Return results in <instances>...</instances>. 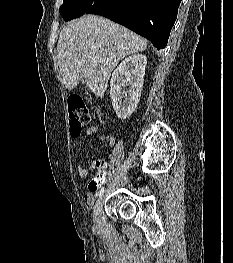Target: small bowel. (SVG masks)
I'll return each instance as SVG.
<instances>
[{"instance_id": "small-bowel-1", "label": "small bowel", "mask_w": 233, "mask_h": 263, "mask_svg": "<svg viewBox=\"0 0 233 263\" xmlns=\"http://www.w3.org/2000/svg\"><path fill=\"white\" fill-rule=\"evenodd\" d=\"M97 132H102V135L100 137V141L103 142L104 144H106L109 147H113L114 143H115V138L114 136L109 133L108 131H106L103 128H100L97 125H93L90 126L87 130H86V134L91 135V134H95ZM102 163L101 160H93L89 163L88 168H85L81 165H78V172L79 175L82 179L86 180L89 177V174L91 171H94L96 169H98V171H104L103 169H101L99 167V164ZM102 184V183H99ZM97 189H90L89 188V192L85 194L84 196V201L87 205H92L94 202V195L93 192H95Z\"/></svg>"}]
</instances>
